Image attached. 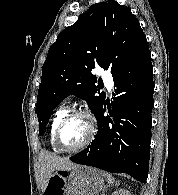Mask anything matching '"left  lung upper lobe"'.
Wrapping results in <instances>:
<instances>
[{
	"label": "left lung upper lobe",
	"mask_w": 178,
	"mask_h": 195,
	"mask_svg": "<svg viewBox=\"0 0 178 195\" xmlns=\"http://www.w3.org/2000/svg\"><path fill=\"white\" fill-rule=\"evenodd\" d=\"M149 51L146 36L131 10L116 1L92 5L50 47L37 97L39 133L53 109L69 94L86 100L96 116L105 100L91 71L110 69L113 78Z\"/></svg>",
	"instance_id": "left-lung-upper-lobe-1"
}]
</instances>
